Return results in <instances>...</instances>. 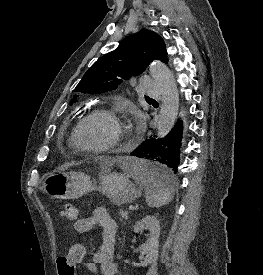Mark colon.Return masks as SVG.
I'll return each instance as SVG.
<instances>
[{
	"label": "colon",
	"mask_w": 263,
	"mask_h": 275,
	"mask_svg": "<svg viewBox=\"0 0 263 275\" xmlns=\"http://www.w3.org/2000/svg\"><path fill=\"white\" fill-rule=\"evenodd\" d=\"M63 216L74 221L79 217V209L67 204L62 212ZM85 256V249L82 245H73L68 252L57 258L59 275H74L76 265L80 264Z\"/></svg>",
	"instance_id": "obj_1"
}]
</instances>
